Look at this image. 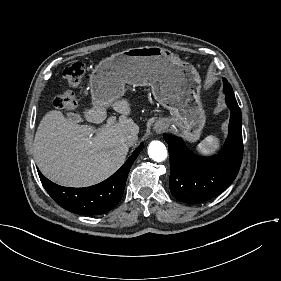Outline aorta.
<instances>
[{"label": "aorta", "instance_id": "obj_1", "mask_svg": "<svg viewBox=\"0 0 281 281\" xmlns=\"http://www.w3.org/2000/svg\"><path fill=\"white\" fill-rule=\"evenodd\" d=\"M149 157L156 161L162 162L167 158V149L160 141H152L148 147Z\"/></svg>", "mask_w": 281, "mask_h": 281}]
</instances>
